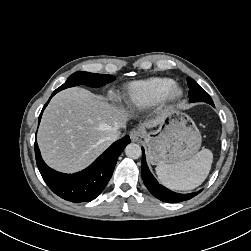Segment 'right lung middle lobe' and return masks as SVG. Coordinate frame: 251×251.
<instances>
[{
    "label": "right lung middle lobe",
    "instance_id": "obj_1",
    "mask_svg": "<svg viewBox=\"0 0 251 251\" xmlns=\"http://www.w3.org/2000/svg\"><path fill=\"white\" fill-rule=\"evenodd\" d=\"M115 80V77L107 74H96L89 72H76L72 74L67 81L57 88V91H61L63 89L77 86V85H86L89 87H101L109 82Z\"/></svg>",
    "mask_w": 251,
    "mask_h": 251
}]
</instances>
